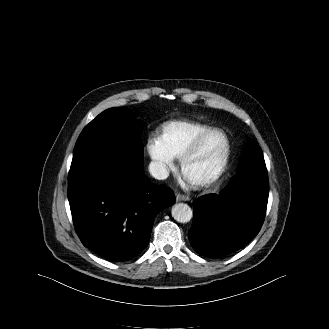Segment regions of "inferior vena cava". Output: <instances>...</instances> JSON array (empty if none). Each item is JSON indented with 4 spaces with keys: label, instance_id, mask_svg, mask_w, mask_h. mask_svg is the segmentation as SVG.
Returning <instances> with one entry per match:
<instances>
[{
    "label": "inferior vena cava",
    "instance_id": "602c4592",
    "mask_svg": "<svg viewBox=\"0 0 329 329\" xmlns=\"http://www.w3.org/2000/svg\"><path fill=\"white\" fill-rule=\"evenodd\" d=\"M149 172L155 179L158 180H164L169 176L166 165L158 161L151 162L149 164Z\"/></svg>",
    "mask_w": 329,
    "mask_h": 329
}]
</instances>
